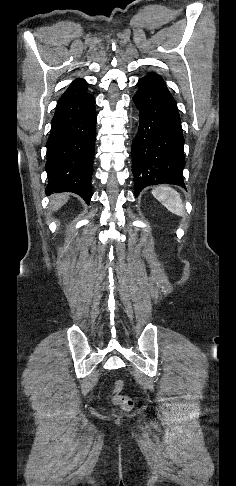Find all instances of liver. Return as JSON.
<instances>
[{"label": "liver", "mask_w": 236, "mask_h": 486, "mask_svg": "<svg viewBox=\"0 0 236 486\" xmlns=\"http://www.w3.org/2000/svg\"><path fill=\"white\" fill-rule=\"evenodd\" d=\"M69 199L67 194L55 195L51 200V207L53 211L60 209Z\"/></svg>", "instance_id": "liver-1"}]
</instances>
